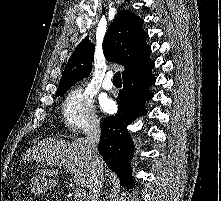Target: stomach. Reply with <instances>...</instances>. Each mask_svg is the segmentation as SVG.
Here are the masks:
<instances>
[{
	"mask_svg": "<svg viewBox=\"0 0 221 201\" xmlns=\"http://www.w3.org/2000/svg\"><path fill=\"white\" fill-rule=\"evenodd\" d=\"M53 182L43 176L35 175L30 182V191L33 194L40 195L51 189Z\"/></svg>",
	"mask_w": 221,
	"mask_h": 201,
	"instance_id": "stomach-1",
	"label": "stomach"
}]
</instances>
